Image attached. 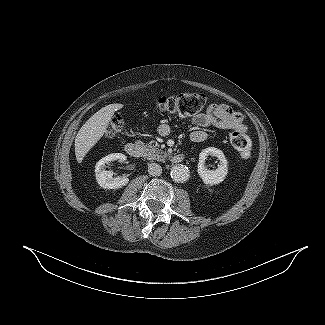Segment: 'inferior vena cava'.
Masks as SVG:
<instances>
[{
  "label": "inferior vena cava",
  "instance_id": "1",
  "mask_svg": "<svg viewBox=\"0 0 325 325\" xmlns=\"http://www.w3.org/2000/svg\"><path fill=\"white\" fill-rule=\"evenodd\" d=\"M148 173L152 176H160L162 173V167L157 163H151L148 165Z\"/></svg>",
  "mask_w": 325,
  "mask_h": 325
}]
</instances>
